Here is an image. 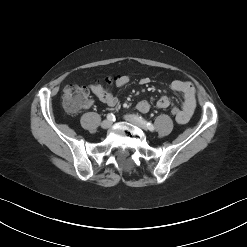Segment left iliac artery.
<instances>
[{"label":"left iliac artery","mask_w":247,"mask_h":247,"mask_svg":"<svg viewBox=\"0 0 247 247\" xmlns=\"http://www.w3.org/2000/svg\"><path fill=\"white\" fill-rule=\"evenodd\" d=\"M136 118H137L141 123H143L147 129H149L150 131H154L155 128H154V126H153V124H152L151 122L146 121V120L143 119L141 116H136Z\"/></svg>","instance_id":"1"}]
</instances>
